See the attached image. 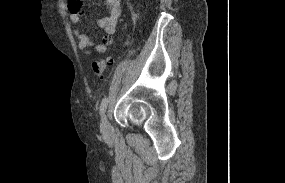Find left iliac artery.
<instances>
[{
    "label": "left iliac artery",
    "instance_id": "left-iliac-artery-1",
    "mask_svg": "<svg viewBox=\"0 0 285 183\" xmlns=\"http://www.w3.org/2000/svg\"><path fill=\"white\" fill-rule=\"evenodd\" d=\"M108 103H109V98L105 97L100 104V113L101 114H103L105 112Z\"/></svg>",
    "mask_w": 285,
    "mask_h": 183
}]
</instances>
